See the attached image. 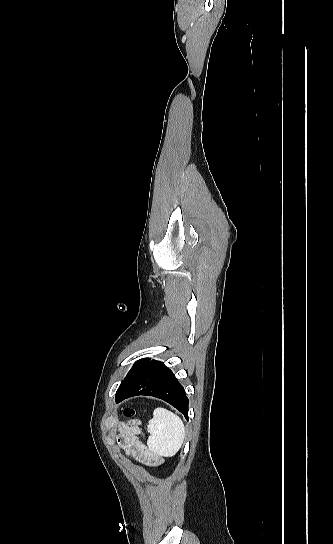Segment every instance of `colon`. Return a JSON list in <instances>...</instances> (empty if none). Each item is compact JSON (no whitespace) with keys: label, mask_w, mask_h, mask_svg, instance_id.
I'll list each match as a JSON object with an SVG mask.
<instances>
[{"label":"colon","mask_w":333,"mask_h":544,"mask_svg":"<svg viewBox=\"0 0 333 544\" xmlns=\"http://www.w3.org/2000/svg\"><path fill=\"white\" fill-rule=\"evenodd\" d=\"M123 413L126 417H132L135 414V410L131 407H125Z\"/></svg>","instance_id":"obj_1"}]
</instances>
